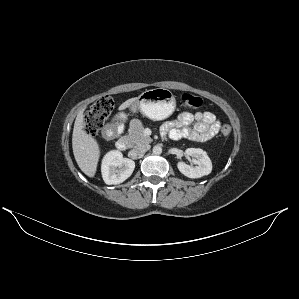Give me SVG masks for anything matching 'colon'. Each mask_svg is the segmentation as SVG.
<instances>
[{"mask_svg":"<svg viewBox=\"0 0 299 299\" xmlns=\"http://www.w3.org/2000/svg\"><path fill=\"white\" fill-rule=\"evenodd\" d=\"M181 102L184 107L192 110L198 109L204 104L202 98L191 93H183ZM113 109L114 101L111 96H102L96 100L88 109L84 117V128L86 133L91 136L97 135L103 128L105 121L111 115ZM230 133L231 127L229 125H223L221 127L222 135L228 136Z\"/></svg>","mask_w":299,"mask_h":299,"instance_id":"1","label":"colon"}]
</instances>
